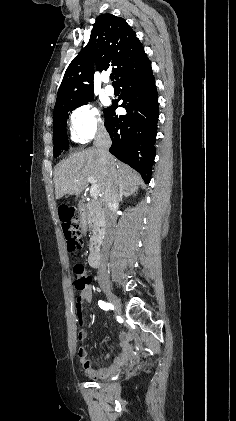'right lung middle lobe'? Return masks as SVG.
Listing matches in <instances>:
<instances>
[{
  "label": "right lung middle lobe",
  "mask_w": 236,
  "mask_h": 421,
  "mask_svg": "<svg viewBox=\"0 0 236 421\" xmlns=\"http://www.w3.org/2000/svg\"><path fill=\"white\" fill-rule=\"evenodd\" d=\"M93 100V97H89L76 102L68 103L54 109L53 113V126H54V157H58L62 150H68L69 143L67 140L66 123L69 117V112L73 111L77 107L87 104ZM106 109H104L105 111Z\"/></svg>",
  "instance_id": "dd1d6c3e"
}]
</instances>
